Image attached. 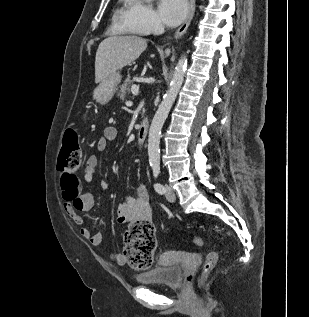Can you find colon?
Here are the masks:
<instances>
[{
    "label": "colon",
    "mask_w": 309,
    "mask_h": 317,
    "mask_svg": "<svg viewBox=\"0 0 309 317\" xmlns=\"http://www.w3.org/2000/svg\"><path fill=\"white\" fill-rule=\"evenodd\" d=\"M81 163L79 136L74 129H67L63 137V146L58 158V170L61 173V182L66 184L68 178L74 174ZM193 243L202 245V239L195 237ZM125 256L130 267L135 271H143L151 267L157 240L155 228L151 221L136 220L130 223L124 234ZM219 259V251H210L202 266L200 286L205 281Z\"/></svg>",
    "instance_id": "colon-1"
}]
</instances>
